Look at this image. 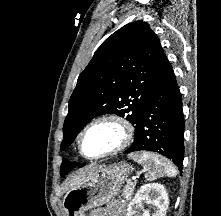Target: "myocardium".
<instances>
[{"label":"myocardium","instance_id":"f54148a6","mask_svg":"<svg viewBox=\"0 0 221 216\" xmlns=\"http://www.w3.org/2000/svg\"><path fill=\"white\" fill-rule=\"evenodd\" d=\"M100 123H111L113 125H115L119 131H120V139L118 141V143L111 149L94 155V156H88L86 154H84L83 152V148H82V143H83V138L85 136V134L95 125L100 124ZM134 136V127L132 125V123L127 120L126 118L117 115V114H105L102 116H99L97 118H94L93 120H91L81 131L79 138H78V143H77V147H78V151L79 153L87 158V159H100V158H104L110 155H114L122 150H124L132 141Z\"/></svg>","mask_w":221,"mask_h":216}]
</instances>
